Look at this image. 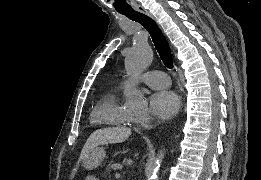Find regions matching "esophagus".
Instances as JSON below:
<instances>
[{"instance_id": "34e87169", "label": "esophagus", "mask_w": 261, "mask_h": 180, "mask_svg": "<svg viewBox=\"0 0 261 180\" xmlns=\"http://www.w3.org/2000/svg\"><path fill=\"white\" fill-rule=\"evenodd\" d=\"M138 10H139L140 12L146 13L147 15L151 16V14L148 12V10H146V9L143 8V7H139Z\"/></svg>"}]
</instances>
